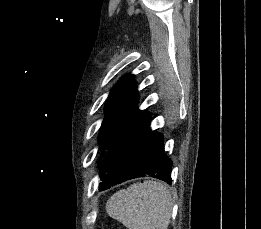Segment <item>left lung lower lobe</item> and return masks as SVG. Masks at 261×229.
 <instances>
[{
  "label": "left lung lower lobe",
  "instance_id": "0a47b994",
  "mask_svg": "<svg viewBox=\"0 0 261 229\" xmlns=\"http://www.w3.org/2000/svg\"><path fill=\"white\" fill-rule=\"evenodd\" d=\"M143 111L108 150L100 168V190L136 177L152 176L171 183L172 161L164 153L163 136L151 131Z\"/></svg>",
  "mask_w": 261,
  "mask_h": 229
}]
</instances>
